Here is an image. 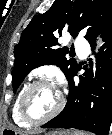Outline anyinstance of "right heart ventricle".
I'll return each instance as SVG.
<instances>
[{
	"label": "right heart ventricle",
	"instance_id": "right-heart-ventricle-1",
	"mask_svg": "<svg viewBox=\"0 0 112 135\" xmlns=\"http://www.w3.org/2000/svg\"><path fill=\"white\" fill-rule=\"evenodd\" d=\"M27 87V85H24L20 91L18 92L13 104H12V107H11V117H12V120L13 122L19 126V127H23V128H28L30 127L32 124L25 121L22 116L20 115V108H19V103H20V98H21V95L23 93V91L25 90V88Z\"/></svg>",
	"mask_w": 112,
	"mask_h": 135
}]
</instances>
